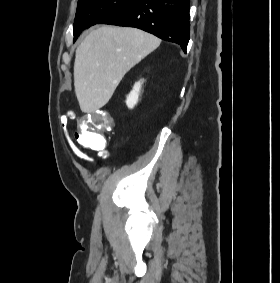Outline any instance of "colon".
<instances>
[{"label": "colon", "mask_w": 280, "mask_h": 283, "mask_svg": "<svg viewBox=\"0 0 280 283\" xmlns=\"http://www.w3.org/2000/svg\"><path fill=\"white\" fill-rule=\"evenodd\" d=\"M67 114H74L73 111H67ZM80 119L76 125L75 140L83 148L96 152L105 150L107 141L105 136L100 132H112L114 122H108L112 119V114L108 110H85L80 114ZM84 119H93L97 127H89L88 121Z\"/></svg>", "instance_id": "obj_1"}]
</instances>
